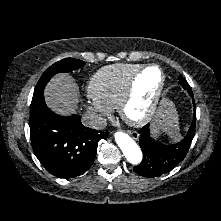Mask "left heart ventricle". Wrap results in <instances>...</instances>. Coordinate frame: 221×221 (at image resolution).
<instances>
[{"label":"left heart ventricle","instance_id":"obj_1","mask_svg":"<svg viewBox=\"0 0 221 221\" xmlns=\"http://www.w3.org/2000/svg\"><path fill=\"white\" fill-rule=\"evenodd\" d=\"M160 83V73L156 68L148 69L136 82L135 100L129 107V114L137 117L143 114Z\"/></svg>","mask_w":221,"mask_h":221}]
</instances>
